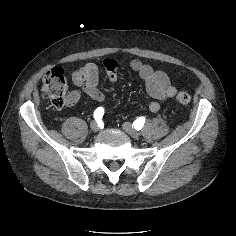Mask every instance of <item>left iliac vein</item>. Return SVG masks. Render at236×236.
<instances>
[{"label":"left iliac vein","instance_id":"1","mask_svg":"<svg viewBox=\"0 0 236 236\" xmlns=\"http://www.w3.org/2000/svg\"><path fill=\"white\" fill-rule=\"evenodd\" d=\"M122 128L127 134H129L133 138H138L140 136V133L135 130L129 122H124Z\"/></svg>","mask_w":236,"mask_h":236}]
</instances>
